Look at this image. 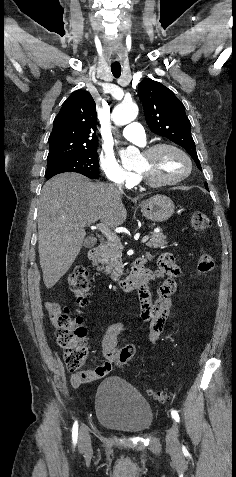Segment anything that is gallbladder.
I'll list each match as a JSON object with an SVG mask.
<instances>
[{
  "label": "gallbladder",
  "mask_w": 236,
  "mask_h": 477,
  "mask_svg": "<svg viewBox=\"0 0 236 477\" xmlns=\"http://www.w3.org/2000/svg\"><path fill=\"white\" fill-rule=\"evenodd\" d=\"M94 244L95 241L91 237L86 238L83 243L84 247L86 248H91L92 246H94Z\"/></svg>",
  "instance_id": "obj_1"
}]
</instances>
